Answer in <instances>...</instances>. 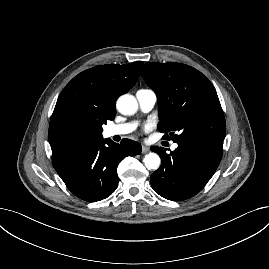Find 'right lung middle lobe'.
<instances>
[{"mask_svg":"<svg viewBox=\"0 0 269 269\" xmlns=\"http://www.w3.org/2000/svg\"><path fill=\"white\" fill-rule=\"evenodd\" d=\"M98 129H99V132H101V131H102V126L100 125V126L98 127Z\"/></svg>","mask_w":269,"mask_h":269,"instance_id":"obj_1","label":"right lung middle lobe"}]
</instances>
